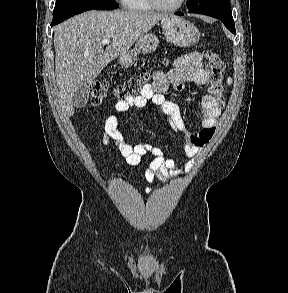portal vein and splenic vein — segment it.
Returning a JSON list of instances; mask_svg holds the SVG:
<instances>
[{"label":"portal vein and splenic vein","mask_w":288,"mask_h":293,"mask_svg":"<svg viewBox=\"0 0 288 293\" xmlns=\"http://www.w3.org/2000/svg\"><path fill=\"white\" fill-rule=\"evenodd\" d=\"M111 42V40L110 39H104V40H102V44L103 45H108L109 43Z\"/></svg>","instance_id":"portal-vein-and-splenic-vein-1"}]
</instances>
